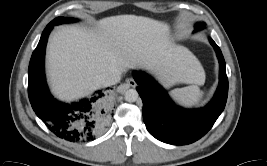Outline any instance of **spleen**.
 Here are the masks:
<instances>
[{
	"mask_svg": "<svg viewBox=\"0 0 267 166\" xmlns=\"http://www.w3.org/2000/svg\"><path fill=\"white\" fill-rule=\"evenodd\" d=\"M174 98L185 106H193L199 103L202 98L203 92L200 91L198 86H188L181 89L172 91Z\"/></svg>",
	"mask_w": 267,
	"mask_h": 166,
	"instance_id": "3e777b00",
	"label": "spleen"
}]
</instances>
